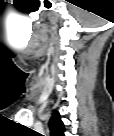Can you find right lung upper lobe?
Wrapping results in <instances>:
<instances>
[{
	"label": "right lung upper lobe",
	"mask_w": 114,
	"mask_h": 136,
	"mask_svg": "<svg viewBox=\"0 0 114 136\" xmlns=\"http://www.w3.org/2000/svg\"><path fill=\"white\" fill-rule=\"evenodd\" d=\"M50 133L52 136H64L65 126L61 120L60 114L58 111L53 113L52 118L49 122Z\"/></svg>",
	"instance_id": "right-lung-upper-lobe-1"
}]
</instances>
